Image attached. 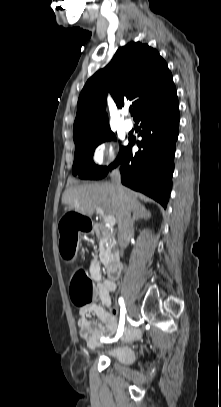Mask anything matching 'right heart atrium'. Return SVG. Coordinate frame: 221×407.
I'll use <instances>...</instances> for the list:
<instances>
[{"mask_svg":"<svg viewBox=\"0 0 221 407\" xmlns=\"http://www.w3.org/2000/svg\"><path fill=\"white\" fill-rule=\"evenodd\" d=\"M116 159V152L112 142H100L92 151V161L96 165H109Z\"/></svg>","mask_w":221,"mask_h":407,"instance_id":"d8ad5b80","label":"right heart atrium"}]
</instances>
